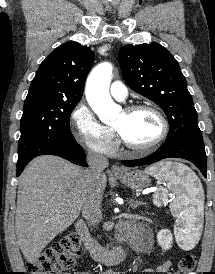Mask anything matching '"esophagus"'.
Listing matches in <instances>:
<instances>
[{
  "label": "esophagus",
  "mask_w": 215,
  "mask_h": 274,
  "mask_svg": "<svg viewBox=\"0 0 215 274\" xmlns=\"http://www.w3.org/2000/svg\"><path fill=\"white\" fill-rule=\"evenodd\" d=\"M111 171L114 175H122L124 173L123 168H121L119 165L114 164L111 167Z\"/></svg>",
  "instance_id": "34e87169"
}]
</instances>
